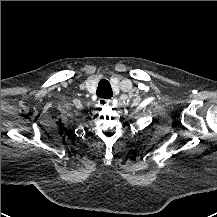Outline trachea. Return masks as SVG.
<instances>
[{
    "mask_svg": "<svg viewBox=\"0 0 217 217\" xmlns=\"http://www.w3.org/2000/svg\"><path fill=\"white\" fill-rule=\"evenodd\" d=\"M96 94L103 99H110L113 96L112 88L108 80L102 79L99 81Z\"/></svg>",
    "mask_w": 217,
    "mask_h": 217,
    "instance_id": "1",
    "label": "trachea"
}]
</instances>
